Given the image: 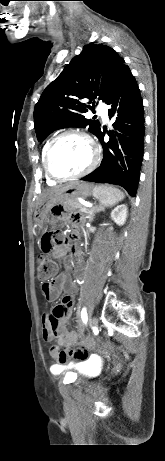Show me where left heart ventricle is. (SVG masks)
I'll return each mask as SVG.
<instances>
[{"label":"left heart ventricle","mask_w":165,"mask_h":461,"mask_svg":"<svg viewBox=\"0 0 165 461\" xmlns=\"http://www.w3.org/2000/svg\"><path fill=\"white\" fill-rule=\"evenodd\" d=\"M90 159L91 152L85 140L68 136L55 146L50 158V166L56 175L69 176L86 168Z\"/></svg>","instance_id":"b2bd125f"}]
</instances>
